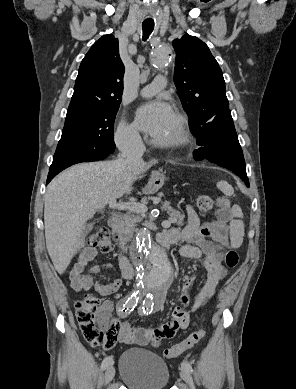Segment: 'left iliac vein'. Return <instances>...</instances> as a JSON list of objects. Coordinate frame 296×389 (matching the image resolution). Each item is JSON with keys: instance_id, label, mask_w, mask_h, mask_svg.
Here are the masks:
<instances>
[{"instance_id": "1", "label": "left iliac vein", "mask_w": 296, "mask_h": 389, "mask_svg": "<svg viewBox=\"0 0 296 389\" xmlns=\"http://www.w3.org/2000/svg\"><path fill=\"white\" fill-rule=\"evenodd\" d=\"M180 376L188 384L190 389H195L192 376H191L190 372L187 369L182 368V370L180 372Z\"/></svg>"}]
</instances>
